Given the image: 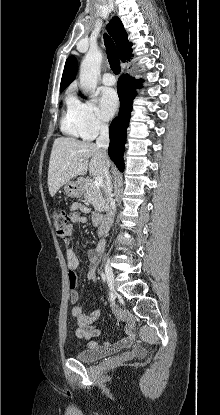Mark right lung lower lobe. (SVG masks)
<instances>
[{"mask_svg": "<svg viewBox=\"0 0 220 415\" xmlns=\"http://www.w3.org/2000/svg\"><path fill=\"white\" fill-rule=\"evenodd\" d=\"M142 80H136L129 74L120 76L117 83V91L120 99L119 116L116 117L109 128L110 145L109 156L120 171L124 170V144L126 140V129L130 120L133 99L136 96V88Z\"/></svg>", "mask_w": 220, "mask_h": 415, "instance_id": "obj_1", "label": "right lung lower lobe"}]
</instances>
